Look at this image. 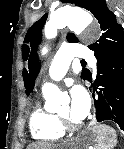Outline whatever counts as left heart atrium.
Wrapping results in <instances>:
<instances>
[{
    "label": "left heart atrium",
    "instance_id": "1",
    "mask_svg": "<svg viewBox=\"0 0 124 149\" xmlns=\"http://www.w3.org/2000/svg\"><path fill=\"white\" fill-rule=\"evenodd\" d=\"M70 115L74 120L81 121L89 113L91 100L88 92L81 85H75L70 90Z\"/></svg>",
    "mask_w": 124,
    "mask_h": 149
}]
</instances>
